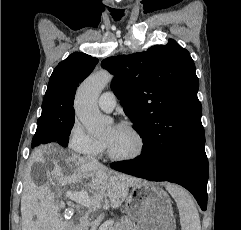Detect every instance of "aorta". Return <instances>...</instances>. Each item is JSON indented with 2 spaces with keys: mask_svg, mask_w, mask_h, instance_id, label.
<instances>
[{
  "mask_svg": "<svg viewBox=\"0 0 241 230\" xmlns=\"http://www.w3.org/2000/svg\"><path fill=\"white\" fill-rule=\"evenodd\" d=\"M113 76L105 70L98 71L79 86L75 101V113L88 134L99 137L106 133L112 119L101 114L97 101L102 90L109 85Z\"/></svg>",
  "mask_w": 241,
  "mask_h": 230,
  "instance_id": "762f6f07",
  "label": "aorta"
}]
</instances>
